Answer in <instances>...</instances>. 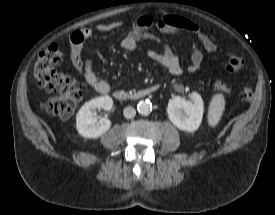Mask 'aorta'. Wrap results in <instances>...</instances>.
Masks as SVG:
<instances>
[{
    "mask_svg": "<svg viewBox=\"0 0 275 215\" xmlns=\"http://www.w3.org/2000/svg\"><path fill=\"white\" fill-rule=\"evenodd\" d=\"M137 110L142 115H148L152 111V104L150 101H140L137 105Z\"/></svg>",
    "mask_w": 275,
    "mask_h": 215,
    "instance_id": "1",
    "label": "aorta"
}]
</instances>
